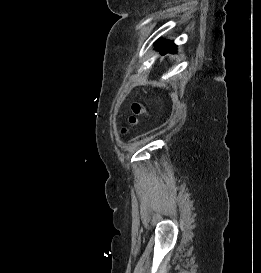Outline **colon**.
I'll return each mask as SVG.
<instances>
[{
  "label": "colon",
  "instance_id": "5ec220e1",
  "mask_svg": "<svg viewBox=\"0 0 261 273\" xmlns=\"http://www.w3.org/2000/svg\"><path fill=\"white\" fill-rule=\"evenodd\" d=\"M132 114L128 119V126L123 128V133H127L129 129L136 127L139 124L140 117H151L152 112L144 105L138 102L132 104Z\"/></svg>",
  "mask_w": 261,
  "mask_h": 273
}]
</instances>
